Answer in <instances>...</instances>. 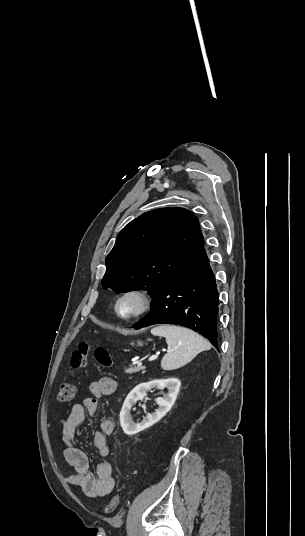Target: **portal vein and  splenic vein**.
I'll return each instance as SVG.
<instances>
[{
  "label": "portal vein and splenic vein",
  "mask_w": 305,
  "mask_h": 536,
  "mask_svg": "<svg viewBox=\"0 0 305 536\" xmlns=\"http://www.w3.org/2000/svg\"><path fill=\"white\" fill-rule=\"evenodd\" d=\"M168 352H171V348H169ZM156 358H158V354H156V356H150V358H148L149 362H152V360H156Z\"/></svg>",
  "instance_id": "1"
}]
</instances>
